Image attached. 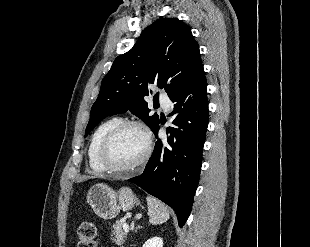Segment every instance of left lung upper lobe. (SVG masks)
Segmentation results:
<instances>
[{"label":"left lung upper lobe","mask_w":310,"mask_h":247,"mask_svg":"<svg viewBox=\"0 0 310 247\" xmlns=\"http://www.w3.org/2000/svg\"><path fill=\"white\" fill-rule=\"evenodd\" d=\"M202 67L199 46L190 27L177 18H163L146 28L133 48L118 56L104 77L91 109L87 135L102 119L130 110L153 130L159 123L144 97L151 84L170 97Z\"/></svg>","instance_id":"left-lung-upper-lobe-1"}]
</instances>
